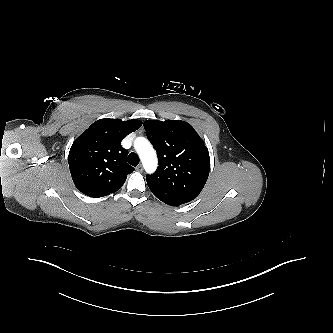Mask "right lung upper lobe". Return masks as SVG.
Wrapping results in <instances>:
<instances>
[{
    "label": "right lung upper lobe",
    "mask_w": 333,
    "mask_h": 333,
    "mask_svg": "<svg viewBox=\"0 0 333 333\" xmlns=\"http://www.w3.org/2000/svg\"><path fill=\"white\" fill-rule=\"evenodd\" d=\"M140 120L100 119L85 130L69 151V168L77 189L99 198L119 190L133 167L121 141L140 128Z\"/></svg>",
    "instance_id": "cb5924a9"
}]
</instances>
